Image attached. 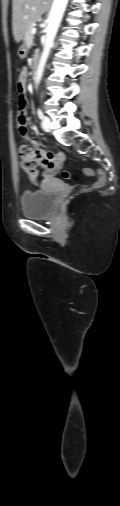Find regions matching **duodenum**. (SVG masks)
Masks as SVG:
<instances>
[{
	"label": "duodenum",
	"instance_id": "1",
	"mask_svg": "<svg viewBox=\"0 0 120 506\" xmlns=\"http://www.w3.org/2000/svg\"><path fill=\"white\" fill-rule=\"evenodd\" d=\"M38 62H39V55L36 54L33 58V63H34V69H36L37 65H38Z\"/></svg>",
	"mask_w": 120,
	"mask_h": 506
}]
</instances>
